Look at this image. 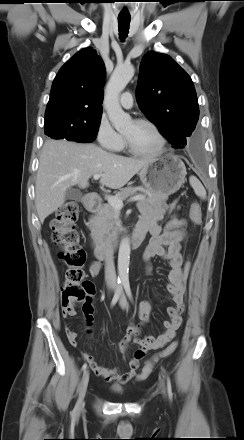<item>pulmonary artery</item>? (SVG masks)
Returning <instances> with one entry per match:
<instances>
[{"label": "pulmonary artery", "mask_w": 244, "mask_h": 440, "mask_svg": "<svg viewBox=\"0 0 244 440\" xmlns=\"http://www.w3.org/2000/svg\"><path fill=\"white\" fill-rule=\"evenodd\" d=\"M120 104L123 108L129 109L133 106V96L130 92H124L120 98Z\"/></svg>", "instance_id": "e3ab8cb5"}]
</instances>
